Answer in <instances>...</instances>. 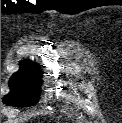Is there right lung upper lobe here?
<instances>
[{"mask_svg":"<svg viewBox=\"0 0 122 123\" xmlns=\"http://www.w3.org/2000/svg\"><path fill=\"white\" fill-rule=\"evenodd\" d=\"M21 67L32 68L40 70V67L29 60H23L20 62Z\"/></svg>","mask_w":122,"mask_h":123,"instance_id":"obj_1","label":"right lung upper lobe"}]
</instances>
